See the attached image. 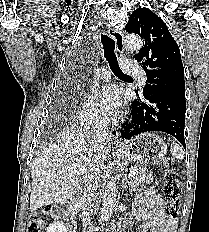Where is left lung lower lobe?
<instances>
[{
    "mask_svg": "<svg viewBox=\"0 0 209 232\" xmlns=\"http://www.w3.org/2000/svg\"><path fill=\"white\" fill-rule=\"evenodd\" d=\"M185 107L184 97L170 94L139 98L132 103L131 121L124 125L122 137L129 139L144 132L161 131L175 137L186 148Z\"/></svg>",
    "mask_w": 209,
    "mask_h": 232,
    "instance_id": "1",
    "label": "left lung lower lobe"
}]
</instances>
